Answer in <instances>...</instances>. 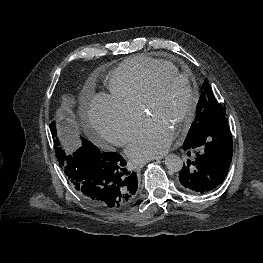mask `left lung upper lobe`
Segmentation results:
<instances>
[{
	"instance_id": "1",
	"label": "left lung upper lobe",
	"mask_w": 263,
	"mask_h": 263,
	"mask_svg": "<svg viewBox=\"0 0 263 263\" xmlns=\"http://www.w3.org/2000/svg\"><path fill=\"white\" fill-rule=\"evenodd\" d=\"M204 92L200 97L196 117L191 125L187 137L200 134L214 120L226 117V111L222 105L216 100L209 82L203 83Z\"/></svg>"
}]
</instances>
